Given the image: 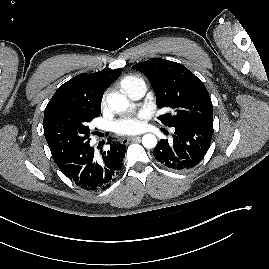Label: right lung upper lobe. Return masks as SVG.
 I'll return each instance as SVG.
<instances>
[{
    "instance_id": "obj_1",
    "label": "right lung upper lobe",
    "mask_w": 269,
    "mask_h": 269,
    "mask_svg": "<svg viewBox=\"0 0 269 269\" xmlns=\"http://www.w3.org/2000/svg\"><path fill=\"white\" fill-rule=\"evenodd\" d=\"M122 69L80 74L61 85L46 106L44 117L58 109L101 111V100L107 87Z\"/></svg>"
}]
</instances>
